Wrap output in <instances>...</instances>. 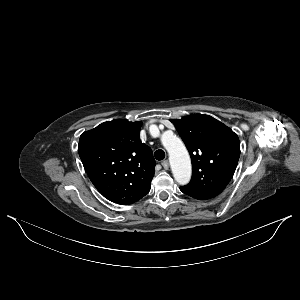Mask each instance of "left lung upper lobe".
Instances as JSON below:
<instances>
[{
  "instance_id": "obj_1",
  "label": "left lung upper lobe",
  "mask_w": 300,
  "mask_h": 300,
  "mask_svg": "<svg viewBox=\"0 0 300 300\" xmlns=\"http://www.w3.org/2000/svg\"><path fill=\"white\" fill-rule=\"evenodd\" d=\"M192 161V178L184 188L205 196L219 195L235 172L240 143L236 133L208 115L192 114L170 120Z\"/></svg>"
}]
</instances>
